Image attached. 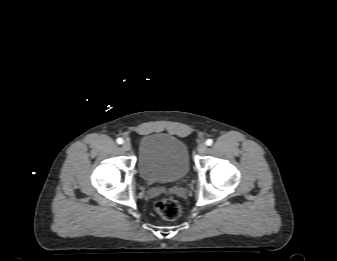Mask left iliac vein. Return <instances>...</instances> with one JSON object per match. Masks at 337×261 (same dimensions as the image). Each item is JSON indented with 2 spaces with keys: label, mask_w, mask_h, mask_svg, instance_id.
Masks as SVG:
<instances>
[{
  "label": "left iliac vein",
  "mask_w": 337,
  "mask_h": 261,
  "mask_svg": "<svg viewBox=\"0 0 337 261\" xmlns=\"http://www.w3.org/2000/svg\"><path fill=\"white\" fill-rule=\"evenodd\" d=\"M206 150H207V145H206V143L202 142V143H200V144L198 145V152H199L200 154L205 153Z\"/></svg>",
  "instance_id": "obj_1"
}]
</instances>
